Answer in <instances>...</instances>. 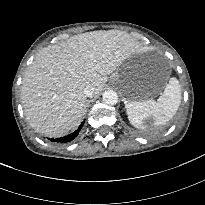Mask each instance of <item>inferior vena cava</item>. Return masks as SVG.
Returning <instances> with one entry per match:
<instances>
[{
	"label": "inferior vena cava",
	"instance_id": "1",
	"mask_svg": "<svg viewBox=\"0 0 205 205\" xmlns=\"http://www.w3.org/2000/svg\"><path fill=\"white\" fill-rule=\"evenodd\" d=\"M84 94L87 96V97H93V88L90 87V86H86L84 88Z\"/></svg>",
	"mask_w": 205,
	"mask_h": 205
}]
</instances>
